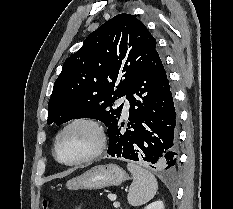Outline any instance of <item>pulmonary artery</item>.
I'll list each match as a JSON object with an SVG mask.
<instances>
[{"label": "pulmonary artery", "mask_w": 233, "mask_h": 209, "mask_svg": "<svg viewBox=\"0 0 233 209\" xmlns=\"http://www.w3.org/2000/svg\"><path fill=\"white\" fill-rule=\"evenodd\" d=\"M118 103L124 105V106H123L124 114L127 115L128 109H129V107H130V103H129L128 99L126 98V96L121 97V98L118 100Z\"/></svg>", "instance_id": "1"}]
</instances>
